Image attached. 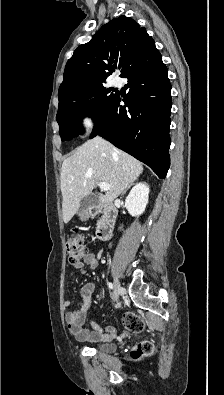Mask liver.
Segmentation results:
<instances>
[{"label": "liver", "mask_w": 224, "mask_h": 395, "mask_svg": "<svg viewBox=\"0 0 224 395\" xmlns=\"http://www.w3.org/2000/svg\"><path fill=\"white\" fill-rule=\"evenodd\" d=\"M142 172L143 166L137 159L103 138L88 140L62 164L63 221L68 223L72 219L82 199L92 192L97 182L110 185V189L98 198L102 205L111 204Z\"/></svg>", "instance_id": "obj_1"}]
</instances>
